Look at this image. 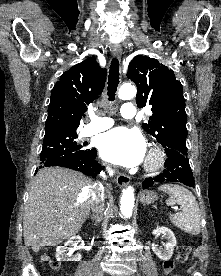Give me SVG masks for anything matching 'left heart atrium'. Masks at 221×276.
<instances>
[{
  "instance_id": "39dd6f15",
  "label": "left heart atrium",
  "mask_w": 221,
  "mask_h": 276,
  "mask_svg": "<svg viewBox=\"0 0 221 276\" xmlns=\"http://www.w3.org/2000/svg\"><path fill=\"white\" fill-rule=\"evenodd\" d=\"M99 150L105 160L133 167L144 159L146 144L138 131L118 127L101 136Z\"/></svg>"
}]
</instances>
